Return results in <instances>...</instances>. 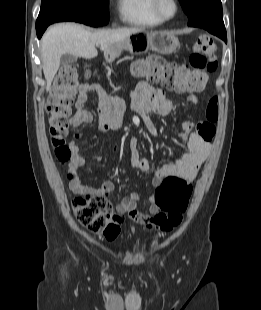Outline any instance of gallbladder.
<instances>
[{"label":"gallbladder","instance_id":"obj_1","mask_svg":"<svg viewBox=\"0 0 261 310\" xmlns=\"http://www.w3.org/2000/svg\"><path fill=\"white\" fill-rule=\"evenodd\" d=\"M77 61V57L71 54H64L61 57V63L65 66H70Z\"/></svg>","mask_w":261,"mask_h":310}]
</instances>
